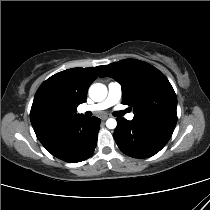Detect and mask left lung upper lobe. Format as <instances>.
<instances>
[{
  "instance_id": "1",
  "label": "left lung upper lobe",
  "mask_w": 210,
  "mask_h": 210,
  "mask_svg": "<svg viewBox=\"0 0 210 210\" xmlns=\"http://www.w3.org/2000/svg\"><path fill=\"white\" fill-rule=\"evenodd\" d=\"M102 69L100 77L109 76L121 84L122 103L133 107L134 121L176 125L177 97L158 69L136 59L104 65Z\"/></svg>"
}]
</instances>
